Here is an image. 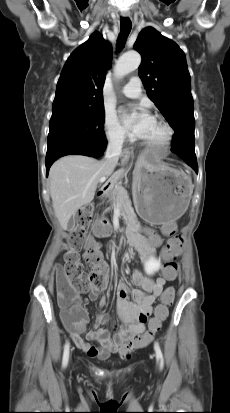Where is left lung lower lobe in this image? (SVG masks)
<instances>
[{
	"instance_id": "1",
	"label": "left lung lower lobe",
	"mask_w": 230,
	"mask_h": 413,
	"mask_svg": "<svg viewBox=\"0 0 230 413\" xmlns=\"http://www.w3.org/2000/svg\"><path fill=\"white\" fill-rule=\"evenodd\" d=\"M190 167H192L196 173H198V165H197V160H196V155L195 156H190V157H184L182 158Z\"/></svg>"
}]
</instances>
